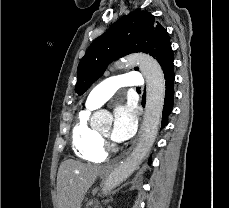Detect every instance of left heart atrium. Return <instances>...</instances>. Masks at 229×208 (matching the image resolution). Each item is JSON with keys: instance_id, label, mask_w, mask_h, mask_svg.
Here are the masks:
<instances>
[{"instance_id": "1", "label": "left heart atrium", "mask_w": 229, "mask_h": 208, "mask_svg": "<svg viewBox=\"0 0 229 208\" xmlns=\"http://www.w3.org/2000/svg\"><path fill=\"white\" fill-rule=\"evenodd\" d=\"M137 128V115L133 105H120L114 113V125L112 138L117 142H123L131 138Z\"/></svg>"}]
</instances>
